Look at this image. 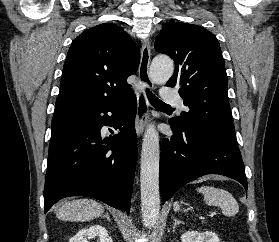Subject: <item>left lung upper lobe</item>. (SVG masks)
Here are the masks:
<instances>
[{"label": "left lung upper lobe", "mask_w": 279, "mask_h": 242, "mask_svg": "<svg viewBox=\"0 0 279 242\" xmlns=\"http://www.w3.org/2000/svg\"><path fill=\"white\" fill-rule=\"evenodd\" d=\"M155 50L174 60L175 72L166 85L178 87L190 109L171 122L183 131L211 133L236 142L227 74L216 37L197 25L172 23L157 36Z\"/></svg>", "instance_id": "5c2ea615"}]
</instances>
